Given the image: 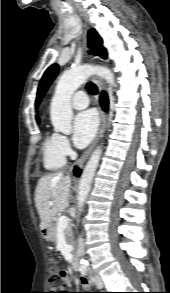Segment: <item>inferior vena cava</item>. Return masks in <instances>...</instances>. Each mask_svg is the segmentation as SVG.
<instances>
[{
    "mask_svg": "<svg viewBox=\"0 0 170 293\" xmlns=\"http://www.w3.org/2000/svg\"><path fill=\"white\" fill-rule=\"evenodd\" d=\"M78 253L80 255L84 254V244H83V239L81 237H79L78 239Z\"/></svg>",
    "mask_w": 170,
    "mask_h": 293,
    "instance_id": "602c4592",
    "label": "inferior vena cava"
}]
</instances>
